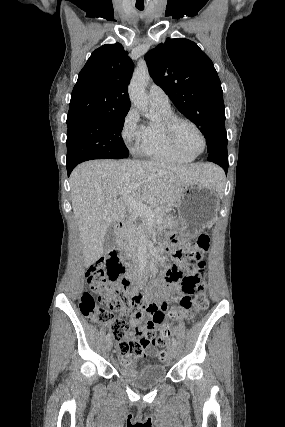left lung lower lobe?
Here are the masks:
<instances>
[{
  "mask_svg": "<svg viewBox=\"0 0 285 427\" xmlns=\"http://www.w3.org/2000/svg\"><path fill=\"white\" fill-rule=\"evenodd\" d=\"M207 160L214 162L221 166L225 173L228 170V154H227V141L220 143L218 146L211 149L208 153Z\"/></svg>",
  "mask_w": 285,
  "mask_h": 427,
  "instance_id": "obj_1",
  "label": "left lung lower lobe"
}]
</instances>
